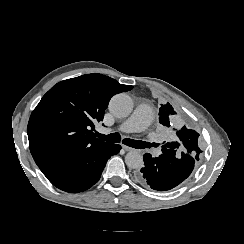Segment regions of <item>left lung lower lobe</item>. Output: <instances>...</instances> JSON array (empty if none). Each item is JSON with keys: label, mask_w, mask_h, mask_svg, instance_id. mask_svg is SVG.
<instances>
[{"label": "left lung lower lobe", "mask_w": 244, "mask_h": 244, "mask_svg": "<svg viewBox=\"0 0 244 244\" xmlns=\"http://www.w3.org/2000/svg\"><path fill=\"white\" fill-rule=\"evenodd\" d=\"M144 167L136 172V180L159 191L170 190L183 182L194 169L198 159L174 149H162L159 157L144 154Z\"/></svg>", "instance_id": "obj_1"}]
</instances>
